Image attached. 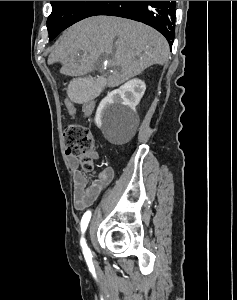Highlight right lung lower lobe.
<instances>
[{
  "label": "right lung lower lobe",
  "instance_id": "1",
  "mask_svg": "<svg viewBox=\"0 0 237 300\" xmlns=\"http://www.w3.org/2000/svg\"><path fill=\"white\" fill-rule=\"evenodd\" d=\"M175 1H105L93 14L129 18L152 26L167 39L175 37Z\"/></svg>",
  "mask_w": 237,
  "mask_h": 300
}]
</instances>
